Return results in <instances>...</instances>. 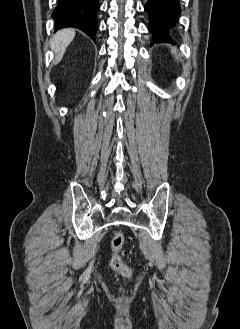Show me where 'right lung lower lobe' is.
<instances>
[{"instance_id":"1","label":"right lung lower lobe","mask_w":240,"mask_h":329,"mask_svg":"<svg viewBox=\"0 0 240 329\" xmlns=\"http://www.w3.org/2000/svg\"><path fill=\"white\" fill-rule=\"evenodd\" d=\"M98 10V0H59L52 13L56 25L55 31L67 27L77 28L95 42Z\"/></svg>"}]
</instances>
